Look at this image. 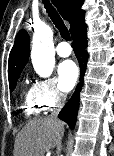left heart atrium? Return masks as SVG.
<instances>
[{"mask_svg":"<svg viewBox=\"0 0 114 156\" xmlns=\"http://www.w3.org/2000/svg\"><path fill=\"white\" fill-rule=\"evenodd\" d=\"M59 85L63 91H70L78 78V68L71 60L63 61L58 67Z\"/></svg>","mask_w":114,"mask_h":156,"instance_id":"39dd6f15","label":"left heart atrium"}]
</instances>
